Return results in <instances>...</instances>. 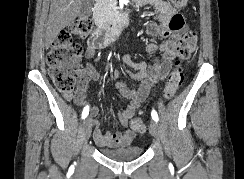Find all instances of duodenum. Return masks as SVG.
<instances>
[{
    "label": "duodenum",
    "mask_w": 244,
    "mask_h": 179,
    "mask_svg": "<svg viewBox=\"0 0 244 179\" xmlns=\"http://www.w3.org/2000/svg\"><path fill=\"white\" fill-rule=\"evenodd\" d=\"M128 13V10H126L124 13H117L115 21L108 26H105V24L99 19L98 30L91 36L90 43L97 48L106 46L112 39L113 35L118 33L124 25L128 18Z\"/></svg>",
    "instance_id": "1"
}]
</instances>
